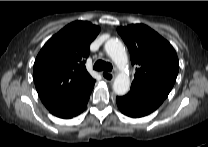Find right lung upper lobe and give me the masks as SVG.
Segmentation results:
<instances>
[{
  "mask_svg": "<svg viewBox=\"0 0 208 147\" xmlns=\"http://www.w3.org/2000/svg\"><path fill=\"white\" fill-rule=\"evenodd\" d=\"M100 28L87 21L65 26L43 46L34 63L33 76L47 109L73 100L94 84L84 66L90 43Z\"/></svg>",
  "mask_w": 208,
  "mask_h": 147,
  "instance_id": "1",
  "label": "right lung upper lobe"
}]
</instances>
